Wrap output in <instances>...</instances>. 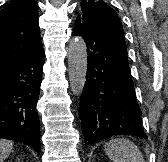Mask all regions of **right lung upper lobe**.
Here are the masks:
<instances>
[{"label":"right lung upper lobe","instance_id":"right-lung-upper-lobe-1","mask_svg":"<svg viewBox=\"0 0 168 162\" xmlns=\"http://www.w3.org/2000/svg\"><path fill=\"white\" fill-rule=\"evenodd\" d=\"M43 51L38 4L13 0L0 11V69Z\"/></svg>","mask_w":168,"mask_h":162}]
</instances>
